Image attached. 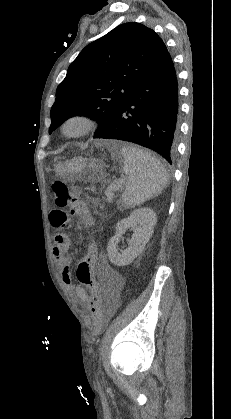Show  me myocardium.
<instances>
[{"instance_id": "myocardium-1", "label": "myocardium", "mask_w": 231, "mask_h": 419, "mask_svg": "<svg viewBox=\"0 0 231 419\" xmlns=\"http://www.w3.org/2000/svg\"><path fill=\"white\" fill-rule=\"evenodd\" d=\"M72 125H77L75 130H71ZM96 129V121L89 115L76 113L66 117L61 126V133L67 138H80L92 133Z\"/></svg>"}]
</instances>
